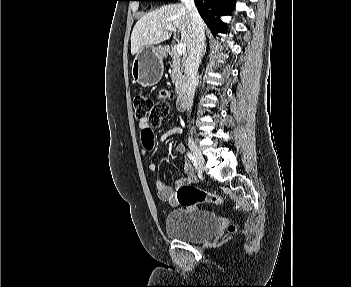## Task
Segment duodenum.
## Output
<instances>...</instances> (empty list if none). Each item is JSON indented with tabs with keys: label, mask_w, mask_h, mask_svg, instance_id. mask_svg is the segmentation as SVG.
<instances>
[{
	"label": "duodenum",
	"mask_w": 351,
	"mask_h": 287,
	"mask_svg": "<svg viewBox=\"0 0 351 287\" xmlns=\"http://www.w3.org/2000/svg\"><path fill=\"white\" fill-rule=\"evenodd\" d=\"M176 106L179 111H185L188 108V94L181 92L177 98Z\"/></svg>",
	"instance_id": "obj_1"
}]
</instances>
